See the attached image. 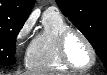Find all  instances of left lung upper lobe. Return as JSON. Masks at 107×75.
I'll list each match as a JSON object with an SVG mask.
<instances>
[{"label": "left lung upper lobe", "instance_id": "1", "mask_svg": "<svg viewBox=\"0 0 107 75\" xmlns=\"http://www.w3.org/2000/svg\"><path fill=\"white\" fill-rule=\"evenodd\" d=\"M62 13L89 40L107 69L106 0H56Z\"/></svg>", "mask_w": 107, "mask_h": 75}]
</instances>
